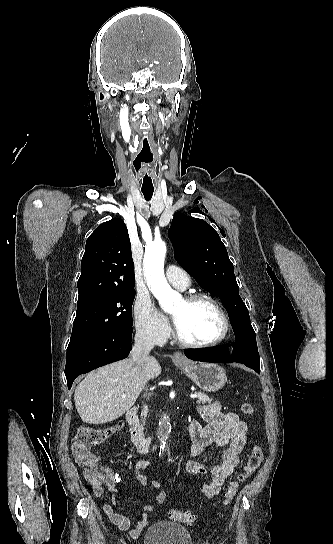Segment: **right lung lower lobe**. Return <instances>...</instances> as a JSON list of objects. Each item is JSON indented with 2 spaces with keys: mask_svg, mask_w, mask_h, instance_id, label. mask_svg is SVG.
Here are the masks:
<instances>
[{
  "mask_svg": "<svg viewBox=\"0 0 333 544\" xmlns=\"http://www.w3.org/2000/svg\"><path fill=\"white\" fill-rule=\"evenodd\" d=\"M132 331V326L124 328L68 354L65 366L68 388L77 376L126 358L132 349Z\"/></svg>",
  "mask_w": 333,
  "mask_h": 544,
  "instance_id": "obj_1",
  "label": "right lung lower lobe"
}]
</instances>
